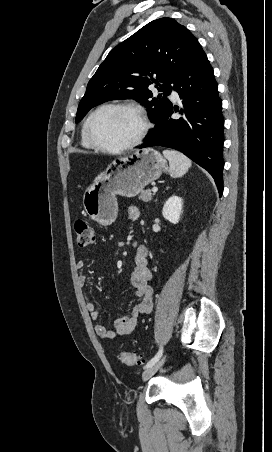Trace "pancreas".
Returning <instances> with one entry per match:
<instances>
[{"mask_svg":"<svg viewBox=\"0 0 272 452\" xmlns=\"http://www.w3.org/2000/svg\"><path fill=\"white\" fill-rule=\"evenodd\" d=\"M153 195L154 194L152 193V191L150 189H147L140 193V195L138 196V199L142 200L144 202H149V201H151Z\"/></svg>","mask_w":272,"mask_h":452,"instance_id":"pancreas-1","label":"pancreas"}]
</instances>
